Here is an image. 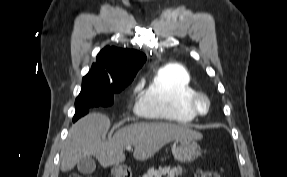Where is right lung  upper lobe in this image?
<instances>
[{"mask_svg":"<svg viewBox=\"0 0 287 177\" xmlns=\"http://www.w3.org/2000/svg\"><path fill=\"white\" fill-rule=\"evenodd\" d=\"M145 61L146 56L139 51L107 46L86 76L103 86H112L133 80Z\"/></svg>","mask_w":287,"mask_h":177,"instance_id":"right-lung-upper-lobe-1","label":"right lung upper lobe"}]
</instances>
